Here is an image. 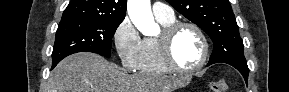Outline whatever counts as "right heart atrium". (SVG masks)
I'll return each instance as SVG.
<instances>
[{
  "label": "right heart atrium",
  "mask_w": 289,
  "mask_h": 92,
  "mask_svg": "<svg viewBox=\"0 0 289 92\" xmlns=\"http://www.w3.org/2000/svg\"><path fill=\"white\" fill-rule=\"evenodd\" d=\"M113 43L121 64L128 70L137 69L142 55V39L128 17L116 27Z\"/></svg>",
  "instance_id": "d8ad5b80"
}]
</instances>
